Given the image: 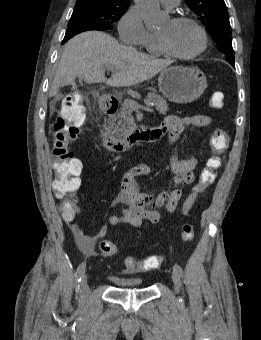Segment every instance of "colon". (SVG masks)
<instances>
[{"label": "colon", "instance_id": "obj_1", "mask_svg": "<svg viewBox=\"0 0 261 340\" xmlns=\"http://www.w3.org/2000/svg\"><path fill=\"white\" fill-rule=\"evenodd\" d=\"M211 108L220 109L224 106V95L215 92L209 99ZM86 120V108L81 100L75 97L67 98L62 107V114L54 124L53 136V174L52 189L54 194L63 199L61 203L62 215L71 216L76 212L75 192L80 187L79 174L81 163L74 158L69 149V143L75 139ZM229 138L222 129H216L210 138V145L216 154L223 153L228 146ZM221 165L218 157L208 160L207 166L200 173L196 188L202 193L216 179V171ZM194 237L193 227L185 223L182 226L181 238L189 242ZM100 250L105 257H112L117 252L116 245L111 241H103ZM161 255H150L142 259L126 257L124 260L126 271L152 270L158 268L162 263Z\"/></svg>", "mask_w": 261, "mask_h": 340}]
</instances>
